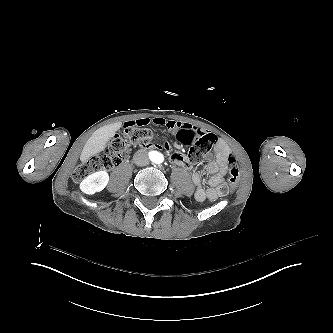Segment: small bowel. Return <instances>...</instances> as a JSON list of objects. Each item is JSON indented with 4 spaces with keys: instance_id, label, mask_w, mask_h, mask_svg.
<instances>
[{
    "instance_id": "small-bowel-1",
    "label": "small bowel",
    "mask_w": 333,
    "mask_h": 333,
    "mask_svg": "<svg viewBox=\"0 0 333 333\" xmlns=\"http://www.w3.org/2000/svg\"><path fill=\"white\" fill-rule=\"evenodd\" d=\"M136 126H146V125H154L158 127H166L170 130L172 129H180L184 128L190 130L195 133H199L197 130L192 128L190 125L166 119L164 117L156 116V117H143L133 121H130ZM141 149L149 150L152 148L157 149H165L169 150V145L167 143L162 144L161 142L156 141H146V143H141ZM213 155L215 157L214 160L209 161L206 165L205 170L210 175L207 186L203 185V179L200 172H194L192 174V181L196 187L195 190V199L198 202H203L205 200H209L211 202L217 201L219 198L225 196V192H223L222 188L225 186L224 177L227 174L228 170H232L233 168H237L236 161L234 156L231 154L229 146L227 143L221 139L217 140L214 149ZM169 161L174 164L183 167L186 170L190 169V162L188 157L181 151H173L169 153L168 156Z\"/></svg>"
}]
</instances>
